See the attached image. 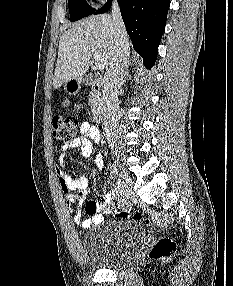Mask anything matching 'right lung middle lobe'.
I'll use <instances>...</instances> for the list:
<instances>
[{"mask_svg": "<svg viewBox=\"0 0 233 286\" xmlns=\"http://www.w3.org/2000/svg\"><path fill=\"white\" fill-rule=\"evenodd\" d=\"M70 21H77L91 15L95 9L88 5L86 0H68Z\"/></svg>", "mask_w": 233, "mask_h": 286, "instance_id": "obj_1", "label": "right lung middle lobe"}]
</instances>
